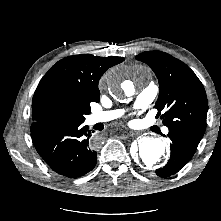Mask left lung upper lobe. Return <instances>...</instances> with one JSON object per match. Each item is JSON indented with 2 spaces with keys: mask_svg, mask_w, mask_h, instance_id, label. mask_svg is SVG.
Masks as SVG:
<instances>
[{
  "mask_svg": "<svg viewBox=\"0 0 221 221\" xmlns=\"http://www.w3.org/2000/svg\"><path fill=\"white\" fill-rule=\"evenodd\" d=\"M156 74L160 94L155 108L164 125L203 137L208 110L205 89L195 73L182 61L161 51H146L136 56Z\"/></svg>",
  "mask_w": 221,
  "mask_h": 221,
  "instance_id": "left-lung-upper-lobe-1",
  "label": "left lung upper lobe"
}]
</instances>
